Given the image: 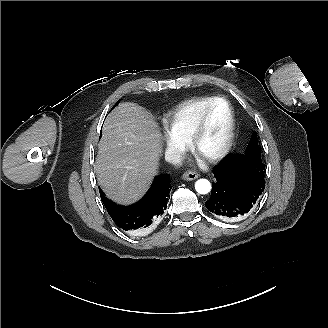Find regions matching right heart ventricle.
<instances>
[{
    "mask_svg": "<svg viewBox=\"0 0 328 328\" xmlns=\"http://www.w3.org/2000/svg\"><path fill=\"white\" fill-rule=\"evenodd\" d=\"M214 98L213 96L195 97L175 106V116L169 131L174 134L181 147L186 146L202 109L211 103Z\"/></svg>",
    "mask_w": 328,
    "mask_h": 328,
    "instance_id": "1",
    "label": "right heart ventricle"
}]
</instances>
